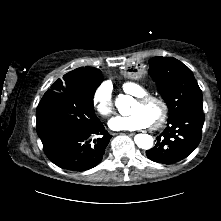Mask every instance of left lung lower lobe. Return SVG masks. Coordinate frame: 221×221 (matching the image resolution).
I'll return each instance as SVG.
<instances>
[{
    "label": "left lung lower lobe",
    "mask_w": 221,
    "mask_h": 221,
    "mask_svg": "<svg viewBox=\"0 0 221 221\" xmlns=\"http://www.w3.org/2000/svg\"><path fill=\"white\" fill-rule=\"evenodd\" d=\"M204 120L203 108L185 112L177 118L169 120L166 129L156 138V145L146 151L147 157L162 164H173L185 159L201 141ZM173 142L176 145V151L167 159L163 154L164 147Z\"/></svg>",
    "instance_id": "obj_1"
}]
</instances>
